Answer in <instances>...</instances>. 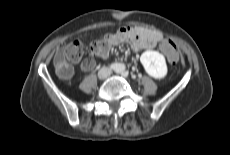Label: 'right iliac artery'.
<instances>
[{
	"mask_svg": "<svg viewBox=\"0 0 230 155\" xmlns=\"http://www.w3.org/2000/svg\"><path fill=\"white\" fill-rule=\"evenodd\" d=\"M111 68L115 70V69L118 68V65H117V64H112V65H111Z\"/></svg>",
	"mask_w": 230,
	"mask_h": 155,
	"instance_id": "right-iliac-artery-1",
	"label": "right iliac artery"
}]
</instances>
